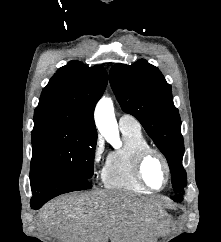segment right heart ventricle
Masks as SVG:
<instances>
[{"label":"right heart ventricle","mask_w":221,"mask_h":242,"mask_svg":"<svg viewBox=\"0 0 221 242\" xmlns=\"http://www.w3.org/2000/svg\"><path fill=\"white\" fill-rule=\"evenodd\" d=\"M124 144L107 155L102 169V180L106 188L133 193H150L135 175L137 153L149 147L141 130L121 128Z\"/></svg>","instance_id":"e07e8e85"}]
</instances>
